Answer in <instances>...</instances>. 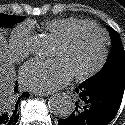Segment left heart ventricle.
<instances>
[{
	"label": "left heart ventricle",
	"mask_w": 125,
	"mask_h": 125,
	"mask_svg": "<svg viewBox=\"0 0 125 125\" xmlns=\"http://www.w3.org/2000/svg\"><path fill=\"white\" fill-rule=\"evenodd\" d=\"M101 50V34L93 28L86 27L78 30L67 44L60 45L56 42L52 57L61 58L71 73L76 74L93 67Z\"/></svg>",
	"instance_id": "obj_1"
}]
</instances>
